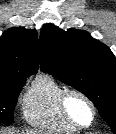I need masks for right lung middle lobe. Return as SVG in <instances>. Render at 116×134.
Listing matches in <instances>:
<instances>
[{"mask_svg":"<svg viewBox=\"0 0 116 134\" xmlns=\"http://www.w3.org/2000/svg\"><path fill=\"white\" fill-rule=\"evenodd\" d=\"M25 82L12 86H0V123L11 124L14 120V108Z\"/></svg>","mask_w":116,"mask_h":134,"instance_id":"1","label":"right lung middle lobe"}]
</instances>
